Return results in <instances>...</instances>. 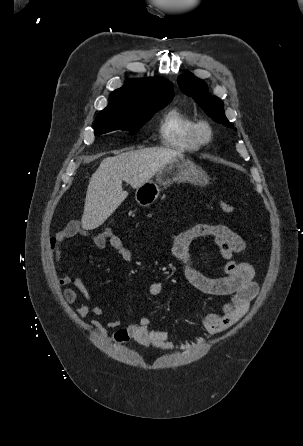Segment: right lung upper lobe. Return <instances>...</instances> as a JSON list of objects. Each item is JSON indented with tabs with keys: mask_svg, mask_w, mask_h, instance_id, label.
I'll use <instances>...</instances> for the list:
<instances>
[{
	"mask_svg": "<svg viewBox=\"0 0 303 446\" xmlns=\"http://www.w3.org/2000/svg\"><path fill=\"white\" fill-rule=\"evenodd\" d=\"M173 97V86L163 77L132 79L110 94L109 104L104 110L144 112L167 104Z\"/></svg>",
	"mask_w": 303,
	"mask_h": 446,
	"instance_id": "cb5924a9",
	"label": "right lung upper lobe"
}]
</instances>
